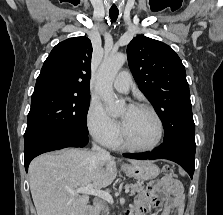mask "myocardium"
<instances>
[{"mask_svg":"<svg viewBox=\"0 0 223 215\" xmlns=\"http://www.w3.org/2000/svg\"><path fill=\"white\" fill-rule=\"evenodd\" d=\"M134 108L147 111L153 117V119L155 120L156 126H157L156 139L154 140V142L151 145L146 146V147L134 146L124 138L123 128H122V125L120 124L119 125L118 140L121 143V145L123 146V148H125L127 150H131V151H151V150H154L155 148H157L159 146V144L161 142V139H162V136H163L162 121H161L159 115L157 114V112L151 106H149L148 104H138V105L134 106Z\"/></svg>","mask_w":223,"mask_h":215,"instance_id":"obj_1","label":"myocardium"}]
</instances>
